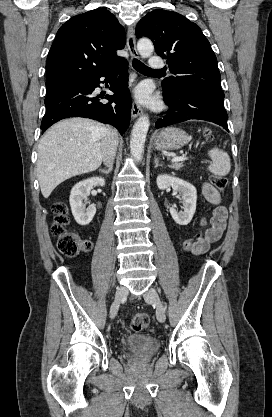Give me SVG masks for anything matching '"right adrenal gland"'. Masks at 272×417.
I'll list each match as a JSON object with an SVG mask.
<instances>
[{
    "mask_svg": "<svg viewBox=\"0 0 272 417\" xmlns=\"http://www.w3.org/2000/svg\"><path fill=\"white\" fill-rule=\"evenodd\" d=\"M100 172L104 173L105 175H108L112 171V166H109L107 169H99Z\"/></svg>",
    "mask_w": 272,
    "mask_h": 417,
    "instance_id": "right-adrenal-gland-1",
    "label": "right adrenal gland"
}]
</instances>
